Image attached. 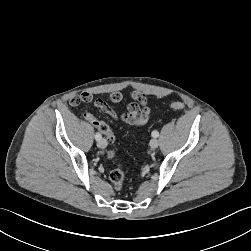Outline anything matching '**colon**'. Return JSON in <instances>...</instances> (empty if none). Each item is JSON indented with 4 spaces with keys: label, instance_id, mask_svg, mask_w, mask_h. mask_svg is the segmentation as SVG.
I'll list each match as a JSON object with an SVG mask.
<instances>
[{
    "label": "colon",
    "instance_id": "obj_1",
    "mask_svg": "<svg viewBox=\"0 0 251 251\" xmlns=\"http://www.w3.org/2000/svg\"><path fill=\"white\" fill-rule=\"evenodd\" d=\"M184 104L180 101H175L170 104V108L172 110L180 111L184 109ZM83 117L87 120L90 124L96 127L100 132H102L106 136V140L109 144H113L115 142V135L109 128V126L103 122L98 120L92 113L84 112ZM106 156L109 159L114 158L115 150L110 148L106 152ZM110 181L113 184V187L116 190H121L124 184L125 174L124 170L121 165H117L109 174Z\"/></svg>",
    "mask_w": 251,
    "mask_h": 251
}]
</instances>
